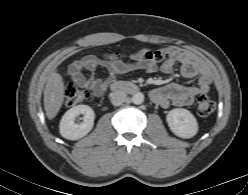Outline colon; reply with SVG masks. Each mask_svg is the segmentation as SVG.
Segmentation results:
<instances>
[{
    "instance_id": "1",
    "label": "colon",
    "mask_w": 248,
    "mask_h": 195,
    "mask_svg": "<svg viewBox=\"0 0 248 195\" xmlns=\"http://www.w3.org/2000/svg\"><path fill=\"white\" fill-rule=\"evenodd\" d=\"M146 57L148 59L154 60L155 62H158L164 58V54L160 51L148 52ZM64 95L66 105L68 106H75L90 99V95L87 91L72 83H69L65 86ZM214 108L215 104L209 97L200 96L197 99L196 112L199 117H208L212 114Z\"/></svg>"
}]
</instances>
